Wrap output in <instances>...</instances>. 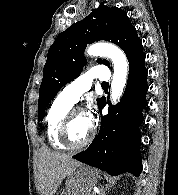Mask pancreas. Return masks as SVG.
<instances>
[{
    "label": "pancreas",
    "instance_id": "1",
    "mask_svg": "<svg viewBox=\"0 0 178 195\" xmlns=\"http://www.w3.org/2000/svg\"><path fill=\"white\" fill-rule=\"evenodd\" d=\"M88 195H94L92 192L90 193V194H88Z\"/></svg>",
    "mask_w": 178,
    "mask_h": 195
}]
</instances>
